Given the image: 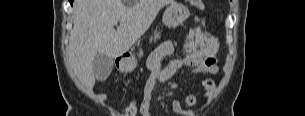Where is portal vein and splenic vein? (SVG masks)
Masks as SVG:
<instances>
[{
	"mask_svg": "<svg viewBox=\"0 0 305 116\" xmlns=\"http://www.w3.org/2000/svg\"><path fill=\"white\" fill-rule=\"evenodd\" d=\"M117 24H118V22H117V21H115V22H114V25H117Z\"/></svg>",
	"mask_w": 305,
	"mask_h": 116,
	"instance_id": "1",
	"label": "portal vein and splenic vein"
}]
</instances>
